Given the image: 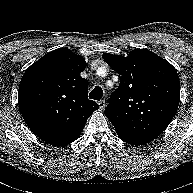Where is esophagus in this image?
<instances>
[{"label":"esophagus","mask_w":193,"mask_h":193,"mask_svg":"<svg viewBox=\"0 0 193 193\" xmlns=\"http://www.w3.org/2000/svg\"><path fill=\"white\" fill-rule=\"evenodd\" d=\"M98 105H99V108H100L101 110H103V109L105 108V105H106L105 100L99 101V102H98Z\"/></svg>","instance_id":"34e87169"}]
</instances>
